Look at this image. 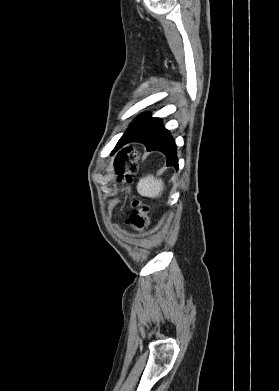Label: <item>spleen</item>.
Wrapping results in <instances>:
<instances>
[{
	"label": "spleen",
	"instance_id": "1",
	"mask_svg": "<svg viewBox=\"0 0 279 391\" xmlns=\"http://www.w3.org/2000/svg\"><path fill=\"white\" fill-rule=\"evenodd\" d=\"M163 189V181L161 179H155L153 175L141 178L137 184L138 193L150 198L159 197Z\"/></svg>",
	"mask_w": 279,
	"mask_h": 391
}]
</instances>
